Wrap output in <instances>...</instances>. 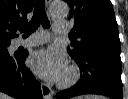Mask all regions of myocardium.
Here are the masks:
<instances>
[{"label":"myocardium","instance_id":"1","mask_svg":"<svg viewBox=\"0 0 128 99\" xmlns=\"http://www.w3.org/2000/svg\"><path fill=\"white\" fill-rule=\"evenodd\" d=\"M79 78H80L79 69L74 65H70L67 68L62 79L59 81L58 86L61 89L70 88L78 82Z\"/></svg>","mask_w":128,"mask_h":99}]
</instances>
